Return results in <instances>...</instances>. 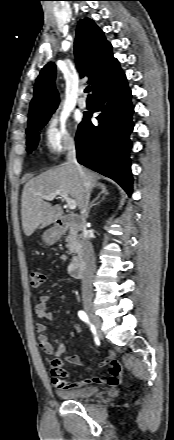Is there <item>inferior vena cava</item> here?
Listing matches in <instances>:
<instances>
[{
  "instance_id": "602c4592",
  "label": "inferior vena cava",
  "mask_w": 174,
  "mask_h": 440,
  "mask_svg": "<svg viewBox=\"0 0 174 440\" xmlns=\"http://www.w3.org/2000/svg\"><path fill=\"white\" fill-rule=\"evenodd\" d=\"M67 162L74 164L80 176L84 179L86 178L83 168L77 162L76 148L74 143H70L68 146ZM85 188H86V197L81 211V214L84 217V222H85V218L88 216L89 199H90V191H91V187L88 182H85ZM82 251H83V259L85 262V269L82 277V293L83 295H91V280L95 267V256H94L93 246L89 241L88 233L85 228H83V232H82Z\"/></svg>"
}]
</instances>
